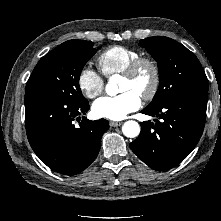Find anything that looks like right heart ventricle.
Instances as JSON below:
<instances>
[{"instance_id": "1", "label": "right heart ventricle", "mask_w": 221, "mask_h": 221, "mask_svg": "<svg viewBox=\"0 0 221 221\" xmlns=\"http://www.w3.org/2000/svg\"><path fill=\"white\" fill-rule=\"evenodd\" d=\"M140 56V52L136 49L115 45L105 49L98 56V65L105 76L112 77L121 74L132 61Z\"/></svg>"}]
</instances>
